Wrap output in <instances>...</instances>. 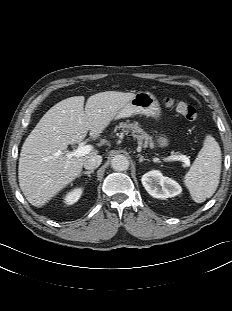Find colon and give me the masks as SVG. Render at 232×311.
<instances>
[{"instance_id":"obj_1","label":"colon","mask_w":232,"mask_h":311,"mask_svg":"<svg viewBox=\"0 0 232 311\" xmlns=\"http://www.w3.org/2000/svg\"><path fill=\"white\" fill-rule=\"evenodd\" d=\"M164 103L166 107L175 109L176 112L187 121H194L198 117L196 108L186 102L175 101L174 99L167 98Z\"/></svg>"}]
</instances>
